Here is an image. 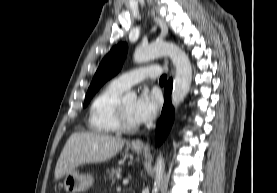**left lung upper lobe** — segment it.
I'll list each match as a JSON object with an SVG mask.
<instances>
[{
	"label": "left lung upper lobe",
	"mask_w": 277,
	"mask_h": 193,
	"mask_svg": "<svg viewBox=\"0 0 277 193\" xmlns=\"http://www.w3.org/2000/svg\"><path fill=\"white\" fill-rule=\"evenodd\" d=\"M128 46L120 43L105 56L94 75L92 83L88 89L84 106H86L98 89L110 78L115 76L121 69L127 55Z\"/></svg>",
	"instance_id": "5c2ea615"
}]
</instances>
